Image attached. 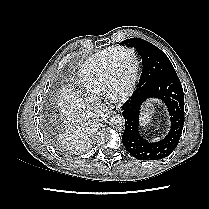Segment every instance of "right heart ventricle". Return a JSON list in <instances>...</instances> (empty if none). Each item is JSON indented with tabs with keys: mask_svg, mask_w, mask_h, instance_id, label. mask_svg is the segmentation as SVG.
<instances>
[{
	"mask_svg": "<svg viewBox=\"0 0 209 209\" xmlns=\"http://www.w3.org/2000/svg\"><path fill=\"white\" fill-rule=\"evenodd\" d=\"M119 46L103 49L92 55L78 72L79 86L91 95H105L104 76L106 66L113 51Z\"/></svg>",
	"mask_w": 209,
	"mask_h": 209,
	"instance_id": "obj_1",
	"label": "right heart ventricle"
}]
</instances>
